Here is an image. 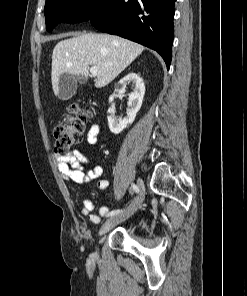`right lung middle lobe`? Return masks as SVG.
<instances>
[{"label": "right lung middle lobe", "instance_id": "right-lung-middle-lobe-1", "mask_svg": "<svg viewBox=\"0 0 247 296\" xmlns=\"http://www.w3.org/2000/svg\"><path fill=\"white\" fill-rule=\"evenodd\" d=\"M110 0H47L44 8L46 29L59 23H79L103 12Z\"/></svg>", "mask_w": 247, "mask_h": 296}]
</instances>
